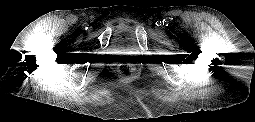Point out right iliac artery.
Here are the masks:
<instances>
[{"label": "right iliac artery", "instance_id": "1", "mask_svg": "<svg viewBox=\"0 0 255 122\" xmlns=\"http://www.w3.org/2000/svg\"><path fill=\"white\" fill-rule=\"evenodd\" d=\"M83 28H84L85 30H87V29H88V24L85 23V24L83 25Z\"/></svg>", "mask_w": 255, "mask_h": 122}]
</instances>
